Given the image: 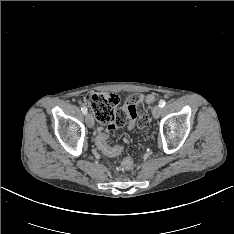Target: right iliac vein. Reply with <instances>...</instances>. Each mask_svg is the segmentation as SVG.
Masks as SVG:
<instances>
[{
  "label": "right iliac vein",
  "instance_id": "right-iliac-vein-1",
  "mask_svg": "<svg viewBox=\"0 0 234 234\" xmlns=\"http://www.w3.org/2000/svg\"><path fill=\"white\" fill-rule=\"evenodd\" d=\"M86 123L89 128L94 126V119L90 113H86Z\"/></svg>",
  "mask_w": 234,
  "mask_h": 234
}]
</instances>
